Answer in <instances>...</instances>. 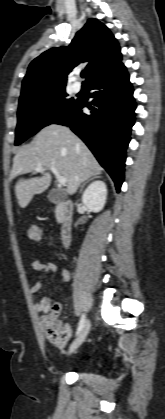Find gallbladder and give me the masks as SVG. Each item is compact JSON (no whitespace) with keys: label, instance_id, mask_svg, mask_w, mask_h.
<instances>
[{"label":"gallbladder","instance_id":"gallbladder-1","mask_svg":"<svg viewBox=\"0 0 165 419\" xmlns=\"http://www.w3.org/2000/svg\"><path fill=\"white\" fill-rule=\"evenodd\" d=\"M51 200L60 202L65 199L66 195L59 190H52L48 196Z\"/></svg>","mask_w":165,"mask_h":419}]
</instances>
